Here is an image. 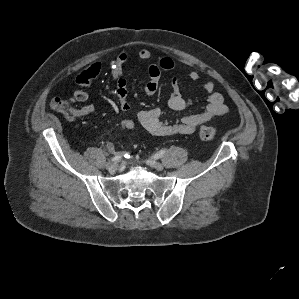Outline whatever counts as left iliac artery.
<instances>
[{
	"label": "left iliac artery",
	"instance_id": "44dca946",
	"mask_svg": "<svg viewBox=\"0 0 299 299\" xmlns=\"http://www.w3.org/2000/svg\"><path fill=\"white\" fill-rule=\"evenodd\" d=\"M165 153H166V149H162L154 155V158H161L165 155Z\"/></svg>",
	"mask_w": 299,
	"mask_h": 299
}]
</instances>
